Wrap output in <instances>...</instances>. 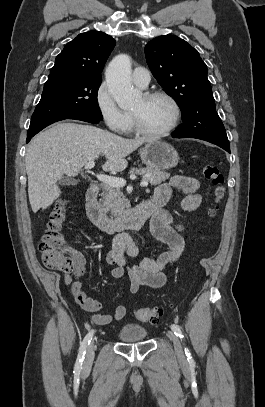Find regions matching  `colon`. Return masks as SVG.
I'll use <instances>...</instances> for the list:
<instances>
[{
  "label": "colon",
  "instance_id": "5ec220e1",
  "mask_svg": "<svg viewBox=\"0 0 265 407\" xmlns=\"http://www.w3.org/2000/svg\"><path fill=\"white\" fill-rule=\"evenodd\" d=\"M202 173L213 187L214 204L208 210L209 217L213 218L219 204L226 196L224 176L218 167L212 163L203 164ZM66 219L67 201L62 199L50 211L46 231L39 244L42 262L49 269L70 271L74 267V253L67 245L62 231ZM134 313L135 317L142 322L155 323L162 315V310L158 308H141L135 310Z\"/></svg>",
  "mask_w": 265,
  "mask_h": 407
}]
</instances>
